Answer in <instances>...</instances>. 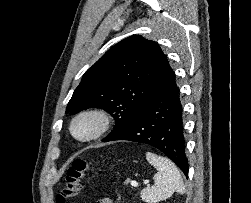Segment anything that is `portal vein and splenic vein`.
Returning a JSON list of instances; mask_svg holds the SVG:
<instances>
[{
    "instance_id": "portal-vein-and-splenic-vein-1",
    "label": "portal vein and splenic vein",
    "mask_w": 251,
    "mask_h": 203,
    "mask_svg": "<svg viewBox=\"0 0 251 203\" xmlns=\"http://www.w3.org/2000/svg\"><path fill=\"white\" fill-rule=\"evenodd\" d=\"M130 184L133 187H138L139 186V184L136 181H131ZM144 184H147V182H144Z\"/></svg>"
}]
</instances>
